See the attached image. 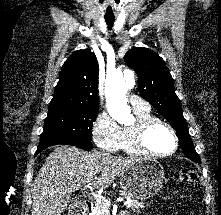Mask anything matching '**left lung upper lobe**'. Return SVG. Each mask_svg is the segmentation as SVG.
Instances as JSON below:
<instances>
[{
	"label": "left lung upper lobe",
	"instance_id": "left-lung-upper-lobe-1",
	"mask_svg": "<svg viewBox=\"0 0 221 215\" xmlns=\"http://www.w3.org/2000/svg\"><path fill=\"white\" fill-rule=\"evenodd\" d=\"M125 63L138 75L140 95L157 109L176 130L185 155L200 163L186 120L183 116L180 100L174 89L173 78L164 60L148 48H133L124 56Z\"/></svg>",
	"mask_w": 221,
	"mask_h": 215
}]
</instances>
